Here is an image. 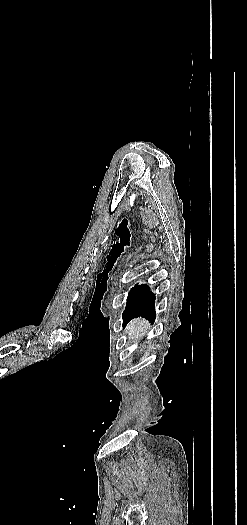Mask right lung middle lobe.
<instances>
[{"instance_id":"dd1d6c3e","label":"right lung middle lobe","mask_w":247,"mask_h":525,"mask_svg":"<svg viewBox=\"0 0 247 525\" xmlns=\"http://www.w3.org/2000/svg\"><path fill=\"white\" fill-rule=\"evenodd\" d=\"M138 285L136 284L131 291L129 292L128 298L132 295V293L137 289Z\"/></svg>"}]
</instances>
